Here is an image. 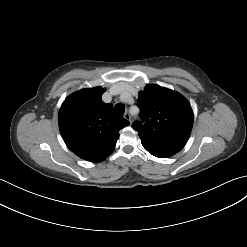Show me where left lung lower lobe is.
I'll list each match as a JSON object with an SVG mask.
<instances>
[{"label":"left lung lower lobe","instance_id":"obj_1","mask_svg":"<svg viewBox=\"0 0 247 247\" xmlns=\"http://www.w3.org/2000/svg\"><path fill=\"white\" fill-rule=\"evenodd\" d=\"M149 153H151L152 155L159 157V158H168L169 157V156H165V155H161V154H157V153H153V152H149Z\"/></svg>","mask_w":247,"mask_h":247}]
</instances>
